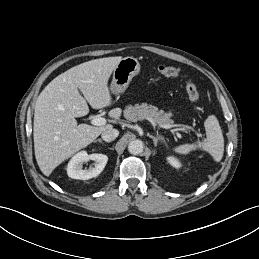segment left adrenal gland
<instances>
[{
  "mask_svg": "<svg viewBox=\"0 0 259 259\" xmlns=\"http://www.w3.org/2000/svg\"><path fill=\"white\" fill-rule=\"evenodd\" d=\"M154 142V145L157 146V143H158V135L156 136H153V135H150V134H147Z\"/></svg>",
  "mask_w": 259,
  "mask_h": 259,
  "instance_id": "left-adrenal-gland-1",
  "label": "left adrenal gland"
}]
</instances>
